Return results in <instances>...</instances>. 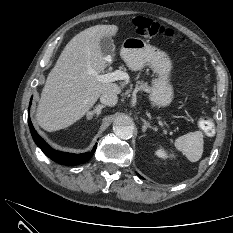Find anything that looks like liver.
<instances>
[{
	"label": "liver",
	"instance_id": "6515ba94",
	"mask_svg": "<svg viewBox=\"0 0 233 233\" xmlns=\"http://www.w3.org/2000/svg\"><path fill=\"white\" fill-rule=\"evenodd\" d=\"M117 32L116 25H95L65 46L41 93L36 114L41 128L49 132L66 128L81 119L104 92H121L117 83L99 82L88 74L89 70L103 72L112 61L103 55L100 40Z\"/></svg>",
	"mask_w": 233,
	"mask_h": 233
}]
</instances>
